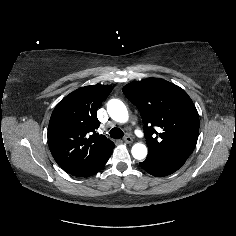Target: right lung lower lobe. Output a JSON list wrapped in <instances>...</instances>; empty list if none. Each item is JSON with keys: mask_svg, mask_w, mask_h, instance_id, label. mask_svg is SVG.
Segmentation results:
<instances>
[{"mask_svg": "<svg viewBox=\"0 0 236 236\" xmlns=\"http://www.w3.org/2000/svg\"><path fill=\"white\" fill-rule=\"evenodd\" d=\"M111 153L109 155H107L101 162H99L87 176H91V175L95 174L96 172H98L106 164L109 157L111 156ZM87 176H85V177H87Z\"/></svg>", "mask_w": 236, "mask_h": 236, "instance_id": "right-lung-lower-lobe-1", "label": "right lung lower lobe"}]
</instances>
